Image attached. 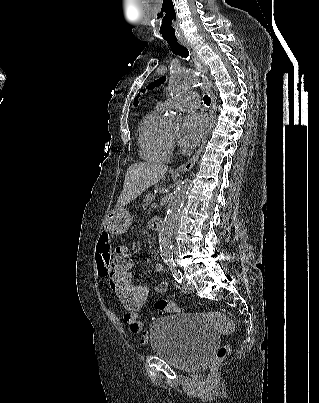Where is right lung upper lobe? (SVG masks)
<instances>
[{
	"label": "right lung upper lobe",
	"instance_id": "1",
	"mask_svg": "<svg viewBox=\"0 0 319 403\" xmlns=\"http://www.w3.org/2000/svg\"><path fill=\"white\" fill-rule=\"evenodd\" d=\"M138 97H139V95L135 98V100H134V105L135 106H137L138 105Z\"/></svg>",
	"mask_w": 319,
	"mask_h": 403
}]
</instances>
